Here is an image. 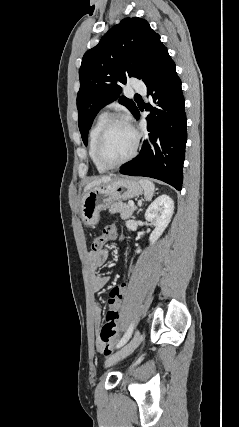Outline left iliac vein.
<instances>
[{
  "label": "left iliac vein",
  "mask_w": 239,
  "mask_h": 427,
  "mask_svg": "<svg viewBox=\"0 0 239 427\" xmlns=\"http://www.w3.org/2000/svg\"><path fill=\"white\" fill-rule=\"evenodd\" d=\"M143 339L144 336L139 331H136L134 337L125 346L106 360L105 366L109 367L129 356L140 345Z\"/></svg>",
  "instance_id": "left-iliac-vein-1"
}]
</instances>
